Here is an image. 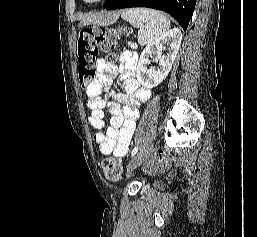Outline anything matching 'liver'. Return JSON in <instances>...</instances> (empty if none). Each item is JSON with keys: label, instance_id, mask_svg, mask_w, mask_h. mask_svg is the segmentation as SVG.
<instances>
[{"label": "liver", "instance_id": "obj_1", "mask_svg": "<svg viewBox=\"0 0 257 237\" xmlns=\"http://www.w3.org/2000/svg\"><path fill=\"white\" fill-rule=\"evenodd\" d=\"M120 13H108L105 15H93L91 17H88L87 19L82 20L81 25H85L88 23H102V24H112L114 23L118 17H119Z\"/></svg>", "mask_w": 257, "mask_h": 237}]
</instances>
